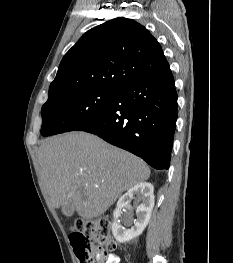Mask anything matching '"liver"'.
<instances>
[{
	"label": "liver",
	"mask_w": 233,
	"mask_h": 263,
	"mask_svg": "<svg viewBox=\"0 0 233 263\" xmlns=\"http://www.w3.org/2000/svg\"><path fill=\"white\" fill-rule=\"evenodd\" d=\"M38 159L52 206L70 203L87 220L104 214L124 191L150 176L140 158L85 132L44 140Z\"/></svg>",
	"instance_id": "6515ba94"
}]
</instances>
